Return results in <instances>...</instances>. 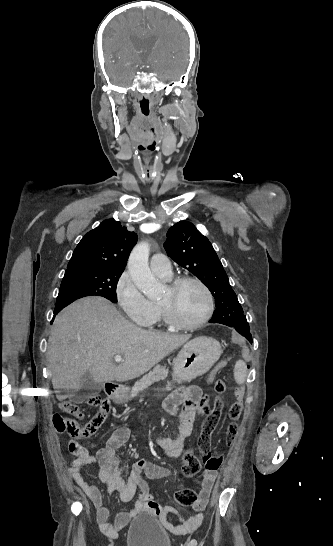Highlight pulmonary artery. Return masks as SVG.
I'll use <instances>...</instances> for the list:
<instances>
[{"label": "pulmonary artery", "mask_w": 333, "mask_h": 546, "mask_svg": "<svg viewBox=\"0 0 333 546\" xmlns=\"http://www.w3.org/2000/svg\"><path fill=\"white\" fill-rule=\"evenodd\" d=\"M150 268L156 275L170 279L172 276L171 262L164 254H155L150 259Z\"/></svg>", "instance_id": "obj_1"}]
</instances>
